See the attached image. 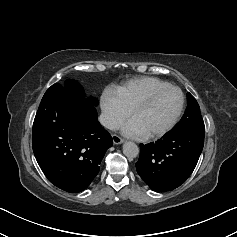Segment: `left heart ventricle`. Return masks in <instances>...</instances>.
I'll return each mask as SVG.
<instances>
[{
  "label": "left heart ventricle",
  "instance_id": "1",
  "mask_svg": "<svg viewBox=\"0 0 237 237\" xmlns=\"http://www.w3.org/2000/svg\"><path fill=\"white\" fill-rule=\"evenodd\" d=\"M179 105V93L175 90H166L137 110L131 119L143 134L152 133L162 129L171 121Z\"/></svg>",
  "mask_w": 237,
  "mask_h": 237
}]
</instances>
